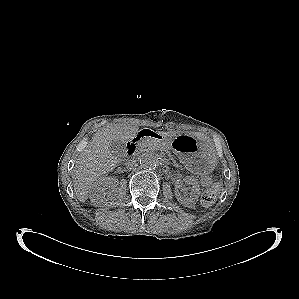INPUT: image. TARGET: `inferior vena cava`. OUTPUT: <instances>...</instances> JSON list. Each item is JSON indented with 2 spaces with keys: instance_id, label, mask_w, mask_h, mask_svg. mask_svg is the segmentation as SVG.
I'll list each match as a JSON object with an SVG mask.
<instances>
[{
  "instance_id": "602c4592",
  "label": "inferior vena cava",
  "mask_w": 299,
  "mask_h": 299,
  "mask_svg": "<svg viewBox=\"0 0 299 299\" xmlns=\"http://www.w3.org/2000/svg\"><path fill=\"white\" fill-rule=\"evenodd\" d=\"M127 165H128L129 167H135V166L138 165V162H137L136 159H132V160H130V161L127 163Z\"/></svg>"
}]
</instances>
